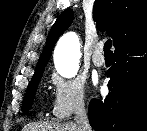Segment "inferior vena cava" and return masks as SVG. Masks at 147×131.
<instances>
[{
    "label": "inferior vena cava",
    "mask_w": 147,
    "mask_h": 131,
    "mask_svg": "<svg viewBox=\"0 0 147 131\" xmlns=\"http://www.w3.org/2000/svg\"><path fill=\"white\" fill-rule=\"evenodd\" d=\"M75 120H76L79 131H91V127H90L85 106L83 103H79L76 107Z\"/></svg>",
    "instance_id": "602c4592"
}]
</instances>
